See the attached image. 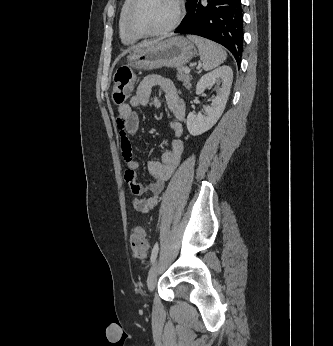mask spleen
Wrapping results in <instances>:
<instances>
[{"instance_id":"1","label":"spleen","mask_w":333,"mask_h":346,"mask_svg":"<svg viewBox=\"0 0 333 346\" xmlns=\"http://www.w3.org/2000/svg\"><path fill=\"white\" fill-rule=\"evenodd\" d=\"M199 49L202 67L205 71H209L226 60L227 54L218 44L198 36H188Z\"/></svg>"}]
</instances>
